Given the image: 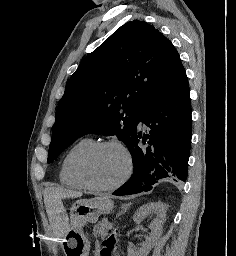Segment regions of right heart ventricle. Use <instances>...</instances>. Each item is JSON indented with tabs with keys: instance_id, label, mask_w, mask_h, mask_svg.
<instances>
[{
	"instance_id": "obj_1",
	"label": "right heart ventricle",
	"mask_w": 236,
	"mask_h": 256,
	"mask_svg": "<svg viewBox=\"0 0 236 256\" xmlns=\"http://www.w3.org/2000/svg\"><path fill=\"white\" fill-rule=\"evenodd\" d=\"M94 144L92 138H81L63 156L59 168V180L63 186L78 190L86 189L79 177V164L83 155Z\"/></svg>"
}]
</instances>
